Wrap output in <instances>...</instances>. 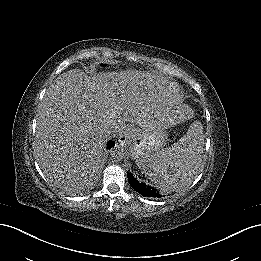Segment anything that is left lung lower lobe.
Wrapping results in <instances>:
<instances>
[{"label":"left lung lower lobe","instance_id":"0a47b994","mask_svg":"<svg viewBox=\"0 0 261 261\" xmlns=\"http://www.w3.org/2000/svg\"><path fill=\"white\" fill-rule=\"evenodd\" d=\"M177 172H181V170H183V167H177ZM175 169V172H176ZM192 169L190 168L189 171H191ZM128 181L131 185V187L135 190L138 191L141 195L145 196V197H149V198H161L163 196V192H159L158 190L149 187L148 185L139 182L138 180H136L133 175L131 173H128Z\"/></svg>","mask_w":261,"mask_h":261}]
</instances>
